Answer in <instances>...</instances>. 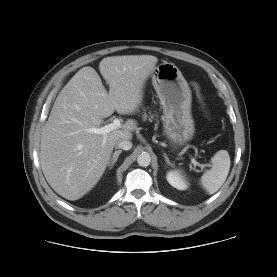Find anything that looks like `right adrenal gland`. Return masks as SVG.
<instances>
[{"mask_svg": "<svg viewBox=\"0 0 277 277\" xmlns=\"http://www.w3.org/2000/svg\"><path fill=\"white\" fill-rule=\"evenodd\" d=\"M122 153V150H117L113 153L112 157L108 162L109 169H112L116 161L118 160L119 155Z\"/></svg>", "mask_w": 277, "mask_h": 277, "instance_id": "2a0ac1e0", "label": "right adrenal gland"}]
</instances>
